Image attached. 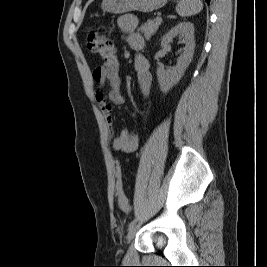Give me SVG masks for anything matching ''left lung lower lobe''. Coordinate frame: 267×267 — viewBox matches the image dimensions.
I'll return each mask as SVG.
<instances>
[{
	"label": "left lung lower lobe",
	"instance_id": "1",
	"mask_svg": "<svg viewBox=\"0 0 267 267\" xmlns=\"http://www.w3.org/2000/svg\"><path fill=\"white\" fill-rule=\"evenodd\" d=\"M205 1L207 2V4H209L211 0H205Z\"/></svg>",
	"mask_w": 267,
	"mask_h": 267
}]
</instances>
